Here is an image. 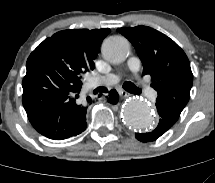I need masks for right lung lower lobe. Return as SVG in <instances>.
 I'll return each instance as SVG.
<instances>
[{
    "label": "right lung lower lobe",
    "instance_id": "1",
    "mask_svg": "<svg viewBox=\"0 0 215 183\" xmlns=\"http://www.w3.org/2000/svg\"><path fill=\"white\" fill-rule=\"evenodd\" d=\"M26 67L22 103L32 126L43 136L54 140L82 133L87 127V108L81 103L83 82L71 79L65 69H47L34 54L29 56ZM107 99L115 105L119 95L111 90ZM86 100L91 102L89 96Z\"/></svg>",
    "mask_w": 215,
    "mask_h": 183
}]
</instances>
